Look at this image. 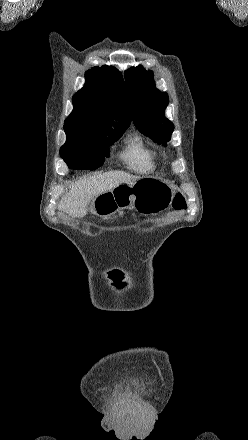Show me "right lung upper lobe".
<instances>
[{
	"label": "right lung upper lobe",
	"mask_w": 248,
	"mask_h": 440,
	"mask_svg": "<svg viewBox=\"0 0 248 440\" xmlns=\"http://www.w3.org/2000/svg\"><path fill=\"white\" fill-rule=\"evenodd\" d=\"M84 87L73 96L74 110L64 123L68 148L89 136L126 130L131 110L121 73L112 66L86 72Z\"/></svg>",
	"instance_id": "obj_1"
}]
</instances>
